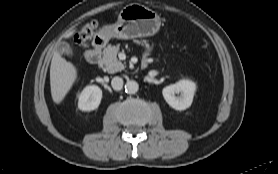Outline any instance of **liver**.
I'll use <instances>...</instances> for the list:
<instances>
[{
  "label": "liver",
  "mask_w": 278,
  "mask_h": 174,
  "mask_svg": "<svg viewBox=\"0 0 278 174\" xmlns=\"http://www.w3.org/2000/svg\"><path fill=\"white\" fill-rule=\"evenodd\" d=\"M75 29L65 34L66 38L75 33ZM77 79V69L55 51L50 66L51 96L56 104H60Z\"/></svg>",
  "instance_id": "1"
}]
</instances>
